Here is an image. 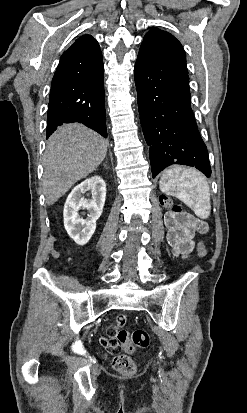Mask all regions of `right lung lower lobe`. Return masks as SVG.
Returning a JSON list of instances; mask_svg holds the SVG:
<instances>
[{"mask_svg":"<svg viewBox=\"0 0 247 413\" xmlns=\"http://www.w3.org/2000/svg\"><path fill=\"white\" fill-rule=\"evenodd\" d=\"M79 122L107 138L103 63L80 70H56L47 113L48 138L58 126Z\"/></svg>","mask_w":247,"mask_h":413,"instance_id":"1","label":"right lung lower lobe"}]
</instances>
